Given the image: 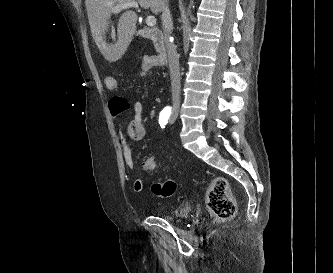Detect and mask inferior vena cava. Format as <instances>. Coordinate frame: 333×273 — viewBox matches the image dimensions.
Masks as SVG:
<instances>
[{"label":"inferior vena cava","instance_id":"602c4592","mask_svg":"<svg viewBox=\"0 0 333 273\" xmlns=\"http://www.w3.org/2000/svg\"><path fill=\"white\" fill-rule=\"evenodd\" d=\"M162 12V27L164 32V40L168 53L170 78H171V90H172V111L177 113L180 107V68H179V56L176 51V46L171 42V34L173 30V22L168 7V0H162L161 2Z\"/></svg>","mask_w":333,"mask_h":273}]
</instances>
